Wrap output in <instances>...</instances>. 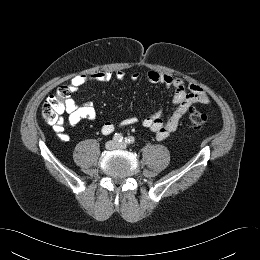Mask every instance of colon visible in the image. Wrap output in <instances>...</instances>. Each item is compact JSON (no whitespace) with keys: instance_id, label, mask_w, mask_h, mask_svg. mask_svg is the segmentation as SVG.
I'll use <instances>...</instances> for the list:
<instances>
[{"instance_id":"colon-1","label":"colon","mask_w":260,"mask_h":260,"mask_svg":"<svg viewBox=\"0 0 260 260\" xmlns=\"http://www.w3.org/2000/svg\"><path fill=\"white\" fill-rule=\"evenodd\" d=\"M70 92L67 87H59L56 94L48 97L42 105L41 115L48 124H60L66 111ZM189 122L192 129H201L209 123V116L198 110H191Z\"/></svg>"}]
</instances>
